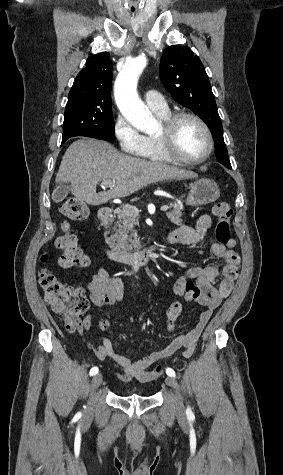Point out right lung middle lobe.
<instances>
[{"mask_svg":"<svg viewBox=\"0 0 283 475\" xmlns=\"http://www.w3.org/2000/svg\"><path fill=\"white\" fill-rule=\"evenodd\" d=\"M114 120L110 102L68 99L63 124V138L87 136L115 141Z\"/></svg>","mask_w":283,"mask_h":475,"instance_id":"dd1d6c3e","label":"right lung middle lobe"}]
</instances>
